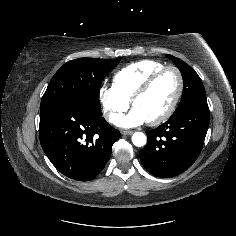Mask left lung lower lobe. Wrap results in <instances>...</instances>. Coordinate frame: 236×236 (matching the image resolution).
<instances>
[{"mask_svg": "<svg viewBox=\"0 0 236 236\" xmlns=\"http://www.w3.org/2000/svg\"><path fill=\"white\" fill-rule=\"evenodd\" d=\"M207 101L174 113L158 128L146 131L148 142L139 152L143 166L161 178L176 176L198 158L209 126Z\"/></svg>", "mask_w": 236, "mask_h": 236, "instance_id": "left-lung-lower-lobe-1", "label": "left lung lower lobe"}]
</instances>
